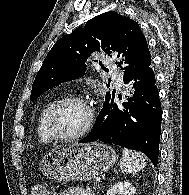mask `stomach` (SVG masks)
Returning a JSON list of instances; mask_svg holds the SVG:
<instances>
[{
  "instance_id": "obj_1",
  "label": "stomach",
  "mask_w": 189,
  "mask_h": 195,
  "mask_svg": "<svg viewBox=\"0 0 189 195\" xmlns=\"http://www.w3.org/2000/svg\"><path fill=\"white\" fill-rule=\"evenodd\" d=\"M117 157L109 145L94 142L48 152L40 163L47 178L56 181H87L111 168Z\"/></svg>"
}]
</instances>
